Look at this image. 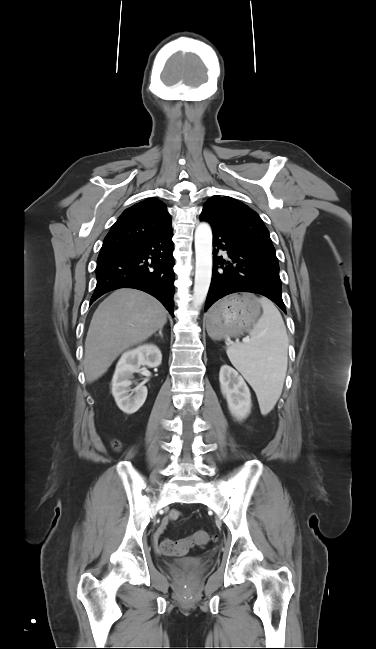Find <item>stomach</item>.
Returning <instances> with one entry per match:
<instances>
[{"instance_id":"0dacf381","label":"stomach","mask_w":376,"mask_h":649,"mask_svg":"<svg viewBox=\"0 0 376 649\" xmlns=\"http://www.w3.org/2000/svg\"><path fill=\"white\" fill-rule=\"evenodd\" d=\"M261 313L259 299L249 293L233 294L216 303L207 317V332L213 339L236 336L255 324Z\"/></svg>"}]
</instances>
